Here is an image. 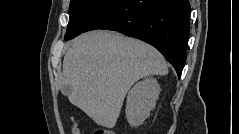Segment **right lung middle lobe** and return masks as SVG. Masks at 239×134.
Returning a JSON list of instances; mask_svg holds the SVG:
<instances>
[{"label": "right lung middle lobe", "mask_w": 239, "mask_h": 134, "mask_svg": "<svg viewBox=\"0 0 239 134\" xmlns=\"http://www.w3.org/2000/svg\"><path fill=\"white\" fill-rule=\"evenodd\" d=\"M117 0H71L70 17L65 40L81 34L84 29L105 9Z\"/></svg>", "instance_id": "obj_1"}]
</instances>
